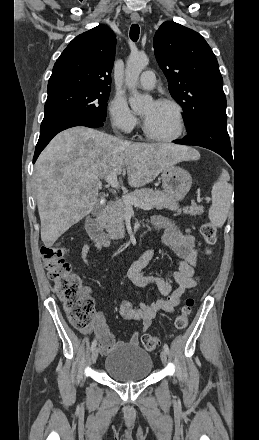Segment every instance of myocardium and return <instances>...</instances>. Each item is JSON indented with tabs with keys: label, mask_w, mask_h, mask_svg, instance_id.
Here are the masks:
<instances>
[{
	"label": "myocardium",
	"mask_w": 259,
	"mask_h": 440,
	"mask_svg": "<svg viewBox=\"0 0 259 440\" xmlns=\"http://www.w3.org/2000/svg\"><path fill=\"white\" fill-rule=\"evenodd\" d=\"M157 103L170 105L175 109L176 119H177V130L171 136H167V137L157 136V135L153 134L147 128L145 121H144L142 124L143 133L148 139H150L152 141L160 142V143H170V142L176 141L177 139H179L182 136V134L185 130V118H184L183 107L176 100L170 99V98H161L157 101Z\"/></svg>",
	"instance_id": "f54148a6"
}]
</instances>
